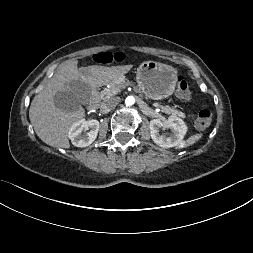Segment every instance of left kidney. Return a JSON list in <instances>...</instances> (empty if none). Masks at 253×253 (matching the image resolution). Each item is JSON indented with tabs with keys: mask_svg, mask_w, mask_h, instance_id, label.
I'll return each instance as SVG.
<instances>
[{
	"mask_svg": "<svg viewBox=\"0 0 253 253\" xmlns=\"http://www.w3.org/2000/svg\"><path fill=\"white\" fill-rule=\"evenodd\" d=\"M169 128V135L160 134V129ZM151 138L162 148H172L179 145L187 132V126L184 121L176 116H170L166 122L159 119H153L149 123Z\"/></svg>",
	"mask_w": 253,
	"mask_h": 253,
	"instance_id": "left-kidney-1",
	"label": "left kidney"
}]
</instances>
